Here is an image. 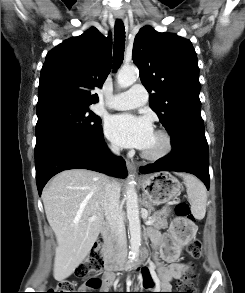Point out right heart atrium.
I'll return each instance as SVG.
<instances>
[{
	"instance_id": "right-heart-atrium-1",
	"label": "right heart atrium",
	"mask_w": 245,
	"mask_h": 293,
	"mask_svg": "<svg viewBox=\"0 0 245 293\" xmlns=\"http://www.w3.org/2000/svg\"><path fill=\"white\" fill-rule=\"evenodd\" d=\"M110 150H111L112 152H118V147L115 146V145H110Z\"/></svg>"
}]
</instances>
